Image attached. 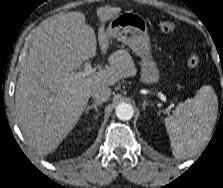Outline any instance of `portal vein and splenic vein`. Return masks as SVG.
<instances>
[{"label":"portal vein and splenic vein","mask_w":223,"mask_h":188,"mask_svg":"<svg viewBox=\"0 0 223 188\" xmlns=\"http://www.w3.org/2000/svg\"><path fill=\"white\" fill-rule=\"evenodd\" d=\"M96 72L95 68H92L91 63L87 62L84 65V70L81 72L68 74L70 80H78L85 78L87 76L93 75ZM161 99L165 100V96L162 93H159Z\"/></svg>","instance_id":"portal-vein-and-splenic-vein-1"}]
</instances>
